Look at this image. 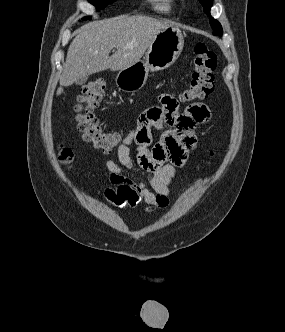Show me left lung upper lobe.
<instances>
[{"mask_svg": "<svg viewBox=\"0 0 285 332\" xmlns=\"http://www.w3.org/2000/svg\"><path fill=\"white\" fill-rule=\"evenodd\" d=\"M199 1L204 7V12L210 17V25L213 29V34L221 36L223 33L221 24L210 15V8L213 4V0H199Z\"/></svg>", "mask_w": 285, "mask_h": 332, "instance_id": "1", "label": "left lung upper lobe"}]
</instances>
